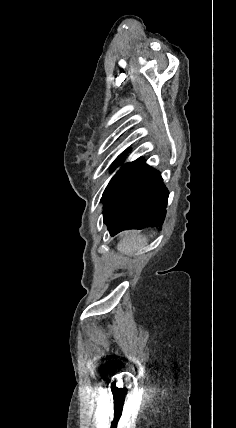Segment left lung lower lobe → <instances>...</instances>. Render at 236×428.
I'll list each match as a JSON object with an SVG mask.
<instances>
[{"label":"left lung lower lobe","instance_id":"left-lung-lower-lobe-1","mask_svg":"<svg viewBox=\"0 0 236 428\" xmlns=\"http://www.w3.org/2000/svg\"><path fill=\"white\" fill-rule=\"evenodd\" d=\"M169 192L160 172L135 160L110 190L103 193V216L111 236L128 229H161Z\"/></svg>","mask_w":236,"mask_h":428}]
</instances>
